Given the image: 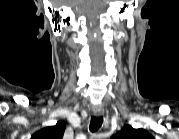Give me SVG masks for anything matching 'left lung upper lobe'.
<instances>
[{
	"label": "left lung upper lobe",
	"instance_id": "5c2ea615",
	"mask_svg": "<svg viewBox=\"0 0 179 139\" xmlns=\"http://www.w3.org/2000/svg\"><path fill=\"white\" fill-rule=\"evenodd\" d=\"M150 136L143 129H134L129 125H125L121 131L115 135V139H146Z\"/></svg>",
	"mask_w": 179,
	"mask_h": 139
}]
</instances>
